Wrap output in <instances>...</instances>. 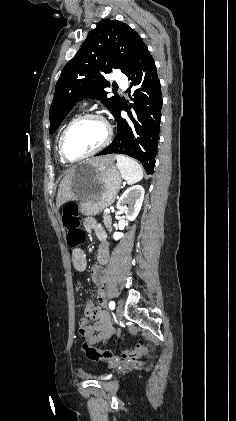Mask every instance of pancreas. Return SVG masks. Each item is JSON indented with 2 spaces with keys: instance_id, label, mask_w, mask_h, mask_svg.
I'll return each mask as SVG.
<instances>
[{
  "instance_id": "1",
  "label": "pancreas",
  "mask_w": 236,
  "mask_h": 421,
  "mask_svg": "<svg viewBox=\"0 0 236 421\" xmlns=\"http://www.w3.org/2000/svg\"><path fill=\"white\" fill-rule=\"evenodd\" d=\"M103 219H104V225H105L106 229H109V231H111L110 213H103Z\"/></svg>"
}]
</instances>
